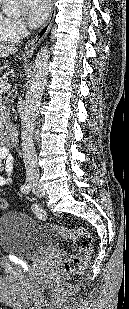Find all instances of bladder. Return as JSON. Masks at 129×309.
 <instances>
[{
	"instance_id": "obj_1",
	"label": "bladder",
	"mask_w": 129,
	"mask_h": 309,
	"mask_svg": "<svg viewBox=\"0 0 129 309\" xmlns=\"http://www.w3.org/2000/svg\"><path fill=\"white\" fill-rule=\"evenodd\" d=\"M57 246V234L51 226L21 212L0 216V247L5 254L31 259Z\"/></svg>"
}]
</instances>
